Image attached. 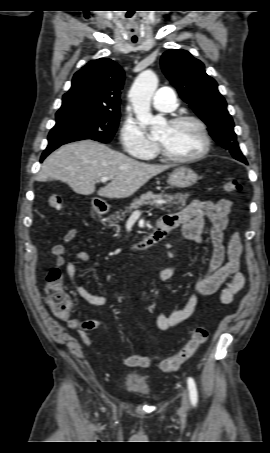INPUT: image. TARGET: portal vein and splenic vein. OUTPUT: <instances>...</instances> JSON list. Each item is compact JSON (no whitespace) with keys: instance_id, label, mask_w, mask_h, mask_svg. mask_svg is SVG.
Returning a JSON list of instances; mask_svg holds the SVG:
<instances>
[{"instance_id":"portal-vein-and-splenic-vein-1","label":"portal vein and splenic vein","mask_w":270,"mask_h":453,"mask_svg":"<svg viewBox=\"0 0 270 453\" xmlns=\"http://www.w3.org/2000/svg\"><path fill=\"white\" fill-rule=\"evenodd\" d=\"M100 180H101V182L105 183V182L109 181L110 178L109 177H102ZM157 203L162 204V203H165V201H157ZM133 214L134 215H140V211L136 210V211L133 212Z\"/></svg>"}]
</instances>
